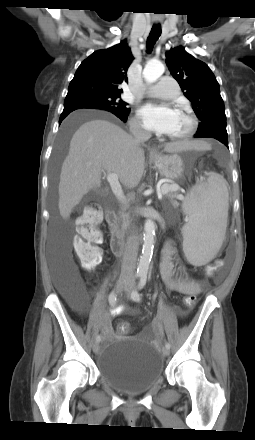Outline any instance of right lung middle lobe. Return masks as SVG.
I'll use <instances>...</instances> for the list:
<instances>
[{"mask_svg": "<svg viewBox=\"0 0 255 440\" xmlns=\"http://www.w3.org/2000/svg\"><path fill=\"white\" fill-rule=\"evenodd\" d=\"M81 105V106H96L107 110L115 111L120 114L128 115L130 109L126 107L127 103L120 99V94L107 93H88L80 96L66 97L65 106ZM62 139V144L64 143Z\"/></svg>", "mask_w": 255, "mask_h": 440, "instance_id": "1", "label": "right lung middle lobe"}]
</instances>
